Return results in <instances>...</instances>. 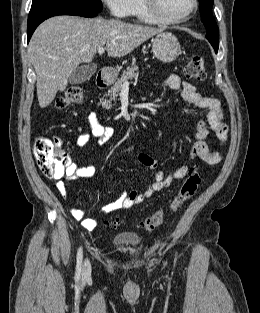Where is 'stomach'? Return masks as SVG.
<instances>
[{
	"label": "stomach",
	"instance_id": "0dacf381",
	"mask_svg": "<svg viewBox=\"0 0 260 313\" xmlns=\"http://www.w3.org/2000/svg\"><path fill=\"white\" fill-rule=\"evenodd\" d=\"M153 54L164 63L177 59L181 53L180 43L171 32H160L152 41Z\"/></svg>",
	"mask_w": 260,
	"mask_h": 313
}]
</instances>
